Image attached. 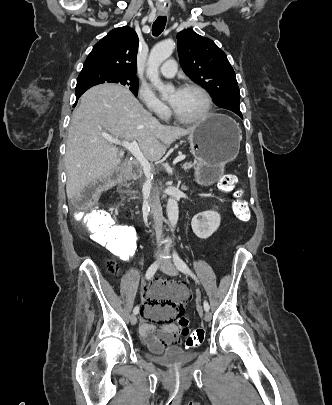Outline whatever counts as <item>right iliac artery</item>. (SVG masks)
I'll list each match as a JSON object with an SVG mask.
<instances>
[{
    "instance_id": "right-iliac-artery-1",
    "label": "right iliac artery",
    "mask_w": 332,
    "mask_h": 405,
    "mask_svg": "<svg viewBox=\"0 0 332 405\" xmlns=\"http://www.w3.org/2000/svg\"><path fill=\"white\" fill-rule=\"evenodd\" d=\"M158 266H159V262H155L154 264H152L149 268H148V270H147V272H146V279L147 280H150L152 277H153V275L155 274V272L157 271V269H158ZM139 306H136L135 308H134V310H133V313L134 314H138V312H139Z\"/></svg>"
}]
</instances>
